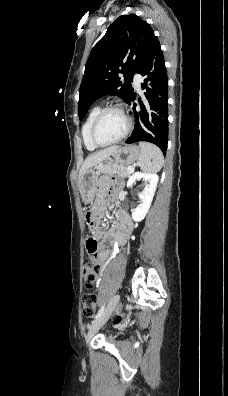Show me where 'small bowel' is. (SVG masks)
Returning <instances> with one entry per match:
<instances>
[{
  "instance_id": "1",
  "label": "small bowel",
  "mask_w": 228,
  "mask_h": 396,
  "mask_svg": "<svg viewBox=\"0 0 228 396\" xmlns=\"http://www.w3.org/2000/svg\"><path fill=\"white\" fill-rule=\"evenodd\" d=\"M116 185H117L116 180H112L109 185L102 184L98 191V199L93 203V205L91 207V209L95 215L94 234L96 235V238L99 240L100 243H103L107 240H109V241L118 240L119 241L118 233H117L116 229H111L106 232V231L101 230L98 227V220L101 217L102 212L104 210V199H103L104 194L105 193L110 194L111 189L115 188ZM116 214H117V216H122L125 220H127L130 223L128 217L122 211L117 210ZM130 225H131V223H130ZM131 231H132V225H131ZM127 237H125L122 240V242L119 241V243L123 244ZM93 256H94L96 262L103 269L107 263L108 258H109V251L105 247L101 246V247H98L97 251L93 254ZM101 279H102V275H101V273H99V275L97 276V278L95 280V284L97 285V287L100 286Z\"/></svg>"
}]
</instances>
